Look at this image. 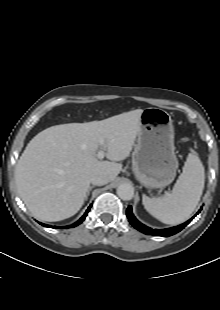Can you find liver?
<instances>
[{
  "label": "liver",
  "instance_id": "obj_1",
  "mask_svg": "<svg viewBox=\"0 0 220 310\" xmlns=\"http://www.w3.org/2000/svg\"><path fill=\"white\" fill-rule=\"evenodd\" d=\"M142 109L101 121L49 127L26 146L15 170L19 195L32 215L42 221H61L82 207L91 177L104 174L115 180L132 151L140 130ZM106 157L96 156L100 139Z\"/></svg>",
  "mask_w": 220,
  "mask_h": 310
}]
</instances>
